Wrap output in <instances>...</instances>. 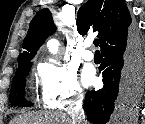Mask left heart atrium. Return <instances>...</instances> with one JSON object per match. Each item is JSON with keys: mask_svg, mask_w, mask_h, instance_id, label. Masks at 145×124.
<instances>
[{"mask_svg": "<svg viewBox=\"0 0 145 124\" xmlns=\"http://www.w3.org/2000/svg\"><path fill=\"white\" fill-rule=\"evenodd\" d=\"M93 78H94L93 70L90 69V68L85 69L84 72H83V81H84V83L85 84L92 83Z\"/></svg>", "mask_w": 145, "mask_h": 124, "instance_id": "1", "label": "left heart atrium"}]
</instances>
